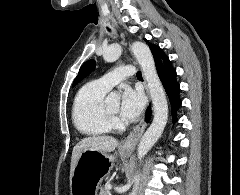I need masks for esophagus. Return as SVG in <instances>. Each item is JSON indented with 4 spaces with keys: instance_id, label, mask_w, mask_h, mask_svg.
Instances as JSON below:
<instances>
[{
    "instance_id": "obj_1",
    "label": "esophagus",
    "mask_w": 240,
    "mask_h": 195,
    "mask_svg": "<svg viewBox=\"0 0 240 195\" xmlns=\"http://www.w3.org/2000/svg\"><path fill=\"white\" fill-rule=\"evenodd\" d=\"M145 128H146V123L144 118H142L140 123L136 125V127H134L133 130H131V132L127 135V137L124 138L121 147L134 148L137 145Z\"/></svg>"
}]
</instances>
